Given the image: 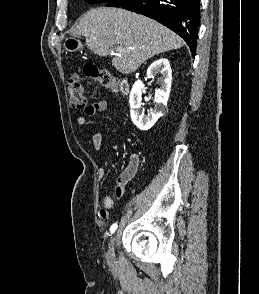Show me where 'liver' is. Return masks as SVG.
<instances>
[{"label":"liver","instance_id":"obj_1","mask_svg":"<svg viewBox=\"0 0 259 294\" xmlns=\"http://www.w3.org/2000/svg\"><path fill=\"white\" fill-rule=\"evenodd\" d=\"M71 33L84 36L86 46L101 57L110 55L115 45L123 47L112 60L122 74L133 73L151 57L184 45L181 37L157 21L120 8L87 11Z\"/></svg>","mask_w":259,"mask_h":294}]
</instances>
